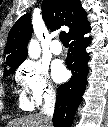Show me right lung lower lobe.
I'll use <instances>...</instances> for the list:
<instances>
[{"label": "right lung lower lobe", "instance_id": "right-lung-lower-lobe-1", "mask_svg": "<svg viewBox=\"0 0 108 127\" xmlns=\"http://www.w3.org/2000/svg\"><path fill=\"white\" fill-rule=\"evenodd\" d=\"M90 31L89 22L68 36L70 49L66 64L72 71L71 79L60 85L57 91L56 107L53 116L55 127H70L78 106L82 101V95L86 87L88 74V53L85 51L89 40L84 34Z\"/></svg>", "mask_w": 108, "mask_h": 127}]
</instances>
